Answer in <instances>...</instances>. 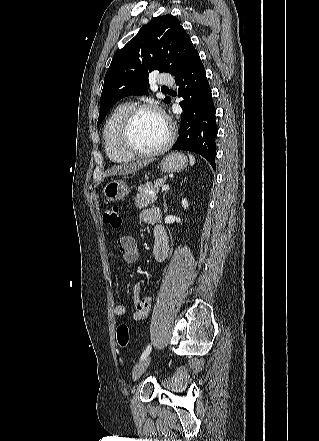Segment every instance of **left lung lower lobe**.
I'll return each mask as SVG.
<instances>
[{"label":"left lung lower lobe","mask_w":319,"mask_h":441,"mask_svg":"<svg viewBox=\"0 0 319 441\" xmlns=\"http://www.w3.org/2000/svg\"><path fill=\"white\" fill-rule=\"evenodd\" d=\"M179 86V104L183 109L179 136L173 150L192 151L205 157L215 168L216 110L206 72L197 53L188 66L175 77Z\"/></svg>","instance_id":"obj_1"}]
</instances>
